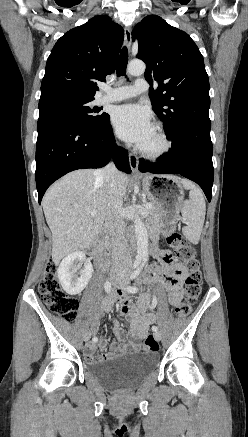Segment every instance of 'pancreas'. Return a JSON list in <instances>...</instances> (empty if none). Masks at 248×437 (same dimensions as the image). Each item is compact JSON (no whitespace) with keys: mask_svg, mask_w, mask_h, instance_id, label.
Returning <instances> with one entry per match:
<instances>
[{"mask_svg":"<svg viewBox=\"0 0 248 437\" xmlns=\"http://www.w3.org/2000/svg\"><path fill=\"white\" fill-rule=\"evenodd\" d=\"M151 204H152L151 208L146 209L147 221L151 226V228L153 229V232L157 233L160 230V224L163 219V212L155 203L151 202Z\"/></svg>","mask_w":248,"mask_h":437,"instance_id":"1","label":"pancreas"}]
</instances>
